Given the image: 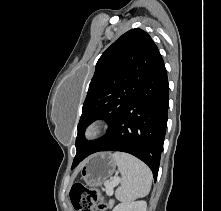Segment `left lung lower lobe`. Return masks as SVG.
Wrapping results in <instances>:
<instances>
[{
    "label": "left lung lower lobe",
    "instance_id": "1",
    "mask_svg": "<svg viewBox=\"0 0 221 211\" xmlns=\"http://www.w3.org/2000/svg\"><path fill=\"white\" fill-rule=\"evenodd\" d=\"M168 104L167 72L159 55L118 122L88 156L100 151L130 153L150 167L156 181L167 126Z\"/></svg>",
    "mask_w": 221,
    "mask_h": 211
}]
</instances>
